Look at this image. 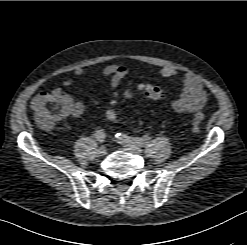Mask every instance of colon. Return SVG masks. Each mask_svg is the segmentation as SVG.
<instances>
[{
    "mask_svg": "<svg viewBox=\"0 0 247 245\" xmlns=\"http://www.w3.org/2000/svg\"><path fill=\"white\" fill-rule=\"evenodd\" d=\"M138 91L149 99H161L164 91L159 86L144 83L138 86ZM118 100L111 101L107 111L106 119L113 123L118 118ZM71 109L70 102L60 93H45L33 101V110L36 122L42 128H50L57 121L67 117ZM204 120L201 112H196L193 116V125L199 127Z\"/></svg>",
    "mask_w": 247,
    "mask_h": 245,
    "instance_id": "5ec220e1",
    "label": "colon"
}]
</instances>
